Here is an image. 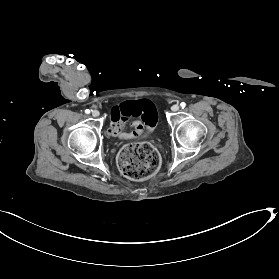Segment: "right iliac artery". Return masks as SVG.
Wrapping results in <instances>:
<instances>
[{"label":"right iliac artery","instance_id":"right-iliac-artery-1","mask_svg":"<svg viewBox=\"0 0 279 279\" xmlns=\"http://www.w3.org/2000/svg\"><path fill=\"white\" fill-rule=\"evenodd\" d=\"M85 113H86V114H89V113H90V110H89V109H86V110H85Z\"/></svg>","mask_w":279,"mask_h":279}]
</instances>
